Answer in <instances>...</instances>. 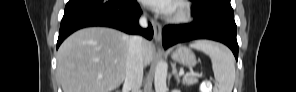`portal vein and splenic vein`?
<instances>
[{
  "instance_id": "1",
  "label": "portal vein and splenic vein",
  "mask_w": 296,
  "mask_h": 92,
  "mask_svg": "<svg viewBox=\"0 0 296 92\" xmlns=\"http://www.w3.org/2000/svg\"><path fill=\"white\" fill-rule=\"evenodd\" d=\"M180 75L181 76H184V77H189V76H191L190 74H184V72L182 71V72H180Z\"/></svg>"
}]
</instances>
